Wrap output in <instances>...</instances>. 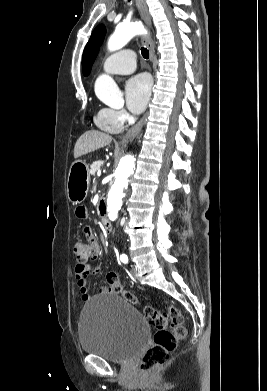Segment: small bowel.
Masks as SVG:
<instances>
[{
  "label": "small bowel",
  "instance_id": "small-bowel-1",
  "mask_svg": "<svg viewBox=\"0 0 267 391\" xmlns=\"http://www.w3.org/2000/svg\"><path fill=\"white\" fill-rule=\"evenodd\" d=\"M76 216L78 218L84 219L87 217V209L84 206H78L76 208ZM84 232L88 236L89 239H93L91 230L89 227L84 228ZM99 267L98 266H91L88 265L86 267L80 268L78 266L75 267V274H76V282H77V287L78 290L81 294V297L84 301H87L90 296L88 294V289H87V277L89 275H94L99 272ZM100 293L101 294H106L109 292V290L106 287L100 288Z\"/></svg>",
  "mask_w": 267,
  "mask_h": 391
}]
</instances>
